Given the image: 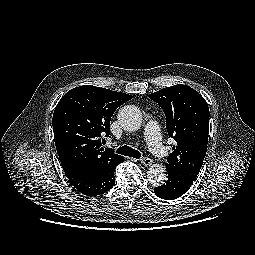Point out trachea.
Masks as SVG:
<instances>
[{"instance_id":"trachea-1","label":"trachea","mask_w":255,"mask_h":255,"mask_svg":"<svg viewBox=\"0 0 255 255\" xmlns=\"http://www.w3.org/2000/svg\"><path fill=\"white\" fill-rule=\"evenodd\" d=\"M117 153L124 155V156H129V157H133L136 159H140L141 158V153L129 146H122L119 147L117 149Z\"/></svg>"}]
</instances>
